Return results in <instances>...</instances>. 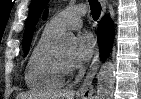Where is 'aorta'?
<instances>
[{
  "label": "aorta",
  "mask_w": 141,
  "mask_h": 99,
  "mask_svg": "<svg viewBox=\"0 0 141 99\" xmlns=\"http://www.w3.org/2000/svg\"><path fill=\"white\" fill-rule=\"evenodd\" d=\"M76 47V39L72 35H64L59 40L61 50L72 51ZM115 84V65L105 62L97 75V99H112Z\"/></svg>",
  "instance_id": "obj_1"
}]
</instances>
